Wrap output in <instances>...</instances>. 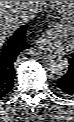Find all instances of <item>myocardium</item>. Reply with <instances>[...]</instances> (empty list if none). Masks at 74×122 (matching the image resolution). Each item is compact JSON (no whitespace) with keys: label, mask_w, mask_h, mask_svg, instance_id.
Listing matches in <instances>:
<instances>
[{"label":"myocardium","mask_w":74,"mask_h":122,"mask_svg":"<svg viewBox=\"0 0 74 122\" xmlns=\"http://www.w3.org/2000/svg\"><path fill=\"white\" fill-rule=\"evenodd\" d=\"M57 13L69 15L74 11V1H51Z\"/></svg>","instance_id":"myocardium-1"}]
</instances>
